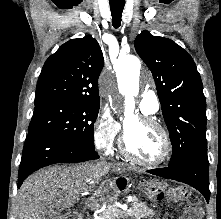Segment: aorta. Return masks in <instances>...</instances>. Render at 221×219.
Segmentation results:
<instances>
[{
  "mask_svg": "<svg viewBox=\"0 0 221 219\" xmlns=\"http://www.w3.org/2000/svg\"><path fill=\"white\" fill-rule=\"evenodd\" d=\"M141 62L136 56L121 58L114 65L118 80V88L121 94L125 96L124 114L126 117H132L134 112V95L138 91L137 76L140 72ZM103 90L105 94L114 95V85L110 77L103 80Z\"/></svg>",
  "mask_w": 221,
  "mask_h": 219,
  "instance_id": "aorta-1",
  "label": "aorta"
}]
</instances>
